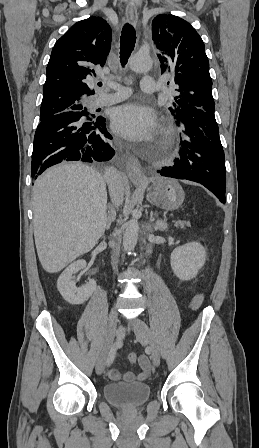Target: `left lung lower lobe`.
<instances>
[{
  "label": "left lung lower lobe",
  "instance_id": "obj_1",
  "mask_svg": "<svg viewBox=\"0 0 259 448\" xmlns=\"http://www.w3.org/2000/svg\"><path fill=\"white\" fill-rule=\"evenodd\" d=\"M184 127L175 164L158 171L162 176L187 179L204 185L225 203V156L214 112L191 108L176 117Z\"/></svg>",
  "mask_w": 259,
  "mask_h": 448
}]
</instances>
